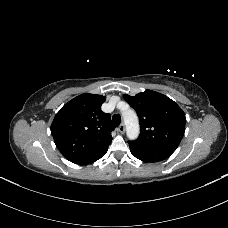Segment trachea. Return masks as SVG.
Returning <instances> with one entry per match:
<instances>
[{
	"label": "trachea",
	"instance_id": "1",
	"mask_svg": "<svg viewBox=\"0 0 228 228\" xmlns=\"http://www.w3.org/2000/svg\"><path fill=\"white\" fill-rule=\"evenodd\" d=\"M112 122L114 124V126H119L120 123H121V117L119 114H115L113 117H112Z\"/></svg>",
	"mask_w": 228,
	"mask_h": 228
}]
</instances>
